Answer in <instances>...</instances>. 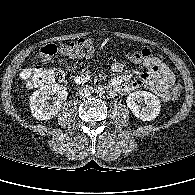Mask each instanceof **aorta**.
Masks as SVG:
<instances>
[{
  "label": "aorta",
  "mask_w": 195,
  "mask_h": 195,
  "mask_svg": "<svg viewBox=\"0 0 195 195\" xmlns=\"http://www.w3.org/2000/svg\"><path fill=\"white\" fill-rule=\"evenodd\" d=\"M99 96H102L104 93H105V91H104V88L102 87V86H98L97 88H96V91H95Z\"/></svg>",
  "instance_id": "obj_1"
}]
</instances>
